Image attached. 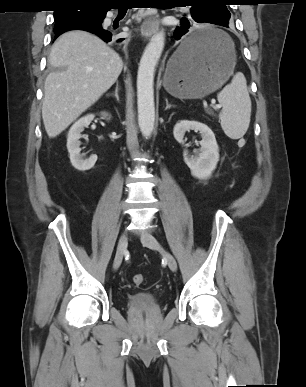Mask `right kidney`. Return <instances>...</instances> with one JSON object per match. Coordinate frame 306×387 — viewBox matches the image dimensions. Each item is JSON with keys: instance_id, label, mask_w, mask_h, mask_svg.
Segmentation results:
<instances>
[{"instance_id": "right-kidney-1", "label": "right kidney", "mask_w": 306, "mask_h": 387, "mask_svg": "<svg viewBox=\"0 0 306 387\" xmlns=\"http://www.w3.org/2000/svg\"><path fill=\"white\" fill-rule=\"evenodd\" d=\"M102 116L107 119L110 118H108L109 115L107 113H102ZM93 119V114H89L80 118L72 125L68 132L67 149L70 154V161L72 166L79 171H86L91 169L97 161V155H91L89 158L83 159L85 154H80L81 142L79 139L81 138V132H83L85 127L90 125Z\"/></svg>"}]
</instances>
